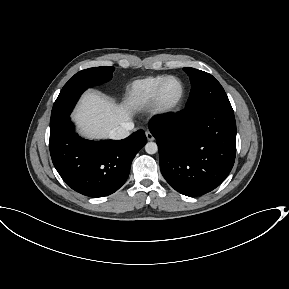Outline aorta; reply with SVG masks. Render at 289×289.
Masks as SVG:
<instances>
[{
    "label": "aorta",
    "instance_id": "obj_1",
    "mask_svg": "<svg viewBox=\"0 0 289 289\" xmlns=\"http://www.w3.org/2000/svg\"><path fill=\"white\" fill-rule=\"evenodd\" d=\"M145 151L148 154H155L158 151V146H157V144L155 142H148L145 145Z\"/></svg>",
    "mask_w": 289,
    "mask_h": 289
}]
</instances>
